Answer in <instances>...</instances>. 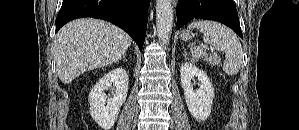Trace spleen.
Segmentation results:
<instances>
[{
	"instance_id": "obj_1",
	"label": "spleen",
	"mask_w": 299,
	"mask_h": 130,
	"mask_svg": "<svg viewBox=\"0 0 299 130\" xmlns=\"http://www.w3.org/2000/svg\"><path fill=\"white\" fill-rule=\"evenodd\" d=\"M188 28L198 29L203 34L205 43L225 52L223 71L230 76L237 74L242 64L243 50L238 37L232 30L209 20L194 21L188 25ZM181 38L184 41L187 40L185 35H181ZM190 53L195 60L208 56L206 49L200 46L191 47Z\"/></svg>"
}]
</instances>
